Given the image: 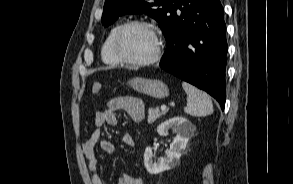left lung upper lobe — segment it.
Instances as JSON below:
<instances>
[{"instance_id":"obj_1","label":"left lung upper lobe","mask_w":293,"mask_h":184,"mask_svg":"<svg viewBox=\"0 0 293 184\" xmlns=\"http://www.w3.org/2000/svg\"><path fill=\"white\" fill-rule=\"evenodd\" d=\"M178 0H106L102 24L107 27L119 16L145 13L154 18L166 37Z\"/></svg>"}]
</instances>
